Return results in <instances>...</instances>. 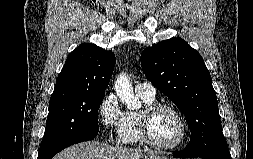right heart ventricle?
Listing matches in <instances>:
<instances>
[{
    "label": "right heart ventricle",
    "mask_w": 253,
    "mask_h": 159,
    "mask_svg": "<svg viewBox=\"0 0 253 159\" xmlns=\"http://www.w3.org/2000/svg\"><path fill=\"white\" fill-rule=\"evenodd\" d=\"M145 105L155 102L154 98L139 95ZM139 114L136 112L125 113V123L122 133V144L135 145L140 143L138 131Z\"/></svg>",
    "instance_id": "1"
}]
</instances>
